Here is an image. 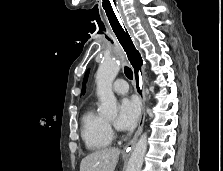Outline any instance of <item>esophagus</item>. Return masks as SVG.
I'll list each match as a JSON object with an SVG mask.
<instances>
[{
	"label": "esophagus",
	"instance_id": "1",
	"mask_svg": "<svg viewBox=\"0 0 223 171\" xmlns=\"http://www.w3.org/2000/svg\"><path fill=\"white\" fill-rule=\"evenodd\" d=\"M110 22V29L115 32L124 51L127 54V60L131 64L134 71L135 91L141 98V113L139 118L138 129L132 140L124 147V152H129L136 144L139 135L142 132L145 120V90L143 84V73L145 61L141 51L138 49L137 43L132 38L130 30H127L126 22L124 21L123 13H110L105 9Z\"/></svg>",
	"mask_w": 223,
	"mask_h": 171
}]
</instances>
